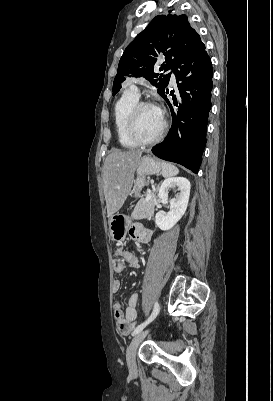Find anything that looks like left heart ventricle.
Wrapping results in <instances>:
<instances>
[{
  "instance_id": "1",
  "label": "left heart ventricle",
  "mask_w": 273,
  "mask_h": 401,
  "mask_svg": "<svg viewBox=\"0 0 273 401\" xmlns=\"http://www.w3.org/2000/svg\"><path fill=\"white\" fill-rule=\"evenodd\" d=\"M163 118L156 109L142 107L136 116V132L144 139L153 138L162 129Z\"/></svg>"
}]
</instances>
